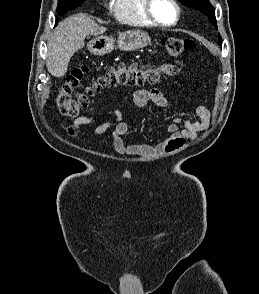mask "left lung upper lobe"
<instances>
[{"label":"left lung upper lobe","mask_w":259,"mask_h":294,"mask_svg":"<svg viewBox=\"0 0 259 294\" xmlns=\"http://www.w3.org/2000/svg\"><path fill=\"white\" fill-rule=\"evenodd\" d=\"M183 5L190 8L198 9L208 16L210 22L217 28L215 11L209 0H179ZM219 43H222L221 36L219 35Z\"/></svg>","instance_id":"5c2ea615"}]
</instances>
